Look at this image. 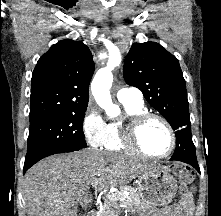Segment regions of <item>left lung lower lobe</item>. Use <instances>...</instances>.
<instances>
[{
  "mask_svg": "<svg viewBox=\"0 0 221 216\" xmlns=\"http://www.w3.org/2000/svg\"><path fill=\"white\" fill-rule=\"evenodd\" d=\"M171 160L187 163L200 172L195 150L188 145L176 144V149Z\"/></svg>",
  "mask_w": 221,
  "mask_h": 216,
  "instance_id": "obj_1",
  "label": "left lung lower lobe"
}]
</instances>
